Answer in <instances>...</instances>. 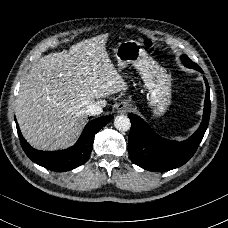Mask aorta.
I'll return each mask as SVG.
<instances>
[{
    "label": "aorta",
    "mask_w": 228,
    "mask_h": 228,
    "mask_svg": "<svg viewBox=\"0 0 228 228\" xmlns=\"http://www.w3.org/2000/svg\"><path fill=\"white\" fill-rule=\"evenodd\" d=\"M114 126L119 131H128L131 127L130 119L125 115L116 116Z\"/></svg>",
    "instance_id": "aorta-1"
}]
</instances>
